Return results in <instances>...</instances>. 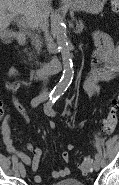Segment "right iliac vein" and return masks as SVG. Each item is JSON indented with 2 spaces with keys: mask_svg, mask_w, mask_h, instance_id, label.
I'll use <instances>...</instances> for the list:
<instances>
[{
  "mask_svg": "<svg viewBox=\"0 0 119 185\" xmlns=\"http://www.w3.org/2000/svg\"><path fill=\"white\" fill-rule=\"evenodd\" d=\"M19 171H20V175L22 177H25L26 176V169L24 166H22L21 168H19Z\"/></svg>",
  "mask_w": 119,
  "mask_h": 185,
  "instance_id": "right-iliac-vein-1",
  "label": "right iliac vein"
}]
</instances>
